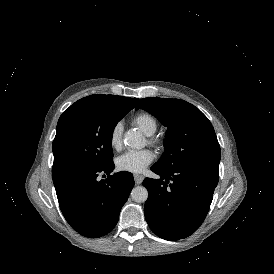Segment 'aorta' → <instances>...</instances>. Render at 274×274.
Returning a JSON list of instances; mask_svg holds the SVG:
<instances>
[{"label":"aorta","instance_id":"762f6f07","mask_svg":"<svg viewBox=\"0 0 274 274\" xmlns=\"http://www.w3.org/2000/svg\"><path fill=\"white\" fill-rule=\"evenodd\" d=\"M124 143L131 148H141L145 141L139 132L130 129L124 134ZM131 197L137 203L145 202L148 199V191L144 186H136L131 191Z\"/></svg>","mask_w":274,"mask_h":274}]
</instances>
